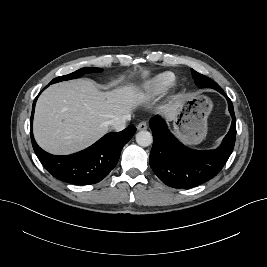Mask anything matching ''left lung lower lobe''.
Instances as JSON below:
<instances>
[{"mask_svg": "<svg viewBox=\"0 0 267 267\" xmlns=\"http://www.w3.org/2000/svg\"><path fill=\"white\" fill-rule=\"evenodd\" d=\"M214 89L226 97L232 116L230 130L217 149L208 151L189 149L170 133L161 117L156 115L149 122L153 132L150 166L154 173L170 187L191 188L214 178L233 151L236 138L233 104L220 87Z\"/></svg>", "mask_w": 267, "mask_h": 267, "instance_id": "0a47b994", "label": "left lung lower lobe"}]
</instances>
